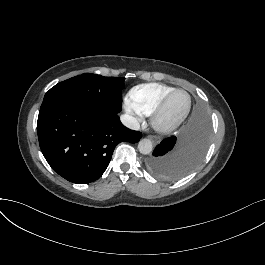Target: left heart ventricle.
Here are the masks:
<instances>
[{"mask_svg":"<svg viewBox=\"0 0 265 265\" xmlns=\"http://www.w3.org/2000/svg\"><path fill=\"white\" fill-rule=\"evenodd\" d=\"M187 98L184 93L175 94L169 101L165 110V119L173 121L179 118L185 111L187 105Z\"/></svg>","mask_w":265,"mask_h":265,"instance_id":"b2bd125f","label":"left heart ventricle"}]
</instances>
